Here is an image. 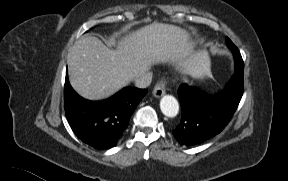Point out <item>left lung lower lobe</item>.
<instances>
[{
  "label": "left lung lower lobe",
  "mask_w": 288,
  "mask_h": 181,
  "mask_svg": "<svg viewBox=\"0 0 288 181\" xmlns=\"http://www.w3.org/2000/svg\"><path fill=\"white\" fill-rule=\"evenodd\" d=\"M234 57H241L233 44ZM243 94V78L230 80L225 89L208 95L195 87L182 84L178 89L182 118L172 131L176 140L186 146L200 144L219 134L231 120Z\"/></svg>",
  "instance_id": "1"
}]
</instances>
